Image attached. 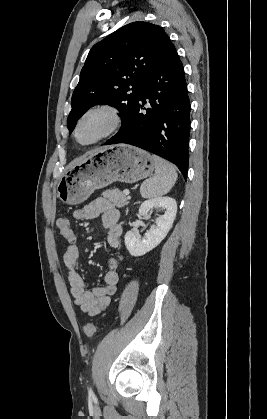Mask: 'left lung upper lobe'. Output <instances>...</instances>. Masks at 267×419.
<instances>
[{
    "label": "left lung upper lobe",
    "instance_id": "obj_1",
    "mask_svg": "<svg viewBox=\"0 0 267 419\" xmlns=\"http://www.w3.org/2000/svg\"><path fill=\"white\" fill-rule=\"evenodd\" d=\"M171 41L158 25L132 22L95 44L80 73L67 126L72 131L91 107L108 104L126 121L146 89L145 80L164 57Z\"/></svg>",
    "mask_w": 267,
    "mask_h": 419
}]
</instances>
